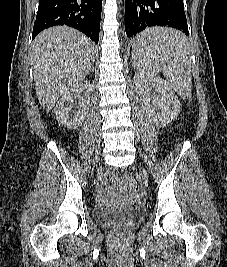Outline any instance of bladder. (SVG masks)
Wrapping results in <instances>:
<instances>
[{
  "mask_svg": "<svg viewBox=\"0 0 227 267\" xmlns=\"http://www.w3.org/2000/svg\"><path fill=\"white\" fill-rule=\"evenodd\" d=\"M94 216L98 222L108 224L122 221L132 215L128 210L122 208L97 207L94 210Z\"/></svg>",
  "mask_w": 227,
  "mask_h": 267,
  "instance_id": "1",
  "label": "bladder"
}]
</instances>
